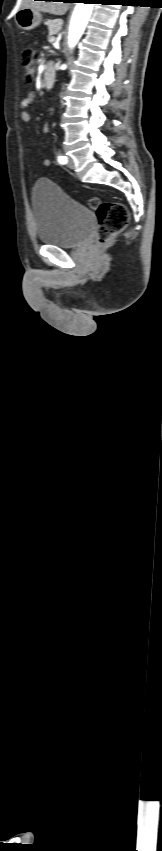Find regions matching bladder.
<instances>
[{
    "mask_svg": "<svg viewBox=\"0 0 162 851\" xmlns=\"http://www.w3.org/2000/svg\"><path fill=\"white\" fill-rule=\"evenodd\" d=\"M32 205L37 238L42 244L60 248L79 247L88 239L95 225L92 210L47 179L34 184Z\"/></svg>",
    "mask_w": 162,
    "mask_h": 851,
    "instance_id": "1",
    "label": "bladder"
}]
</instances>
